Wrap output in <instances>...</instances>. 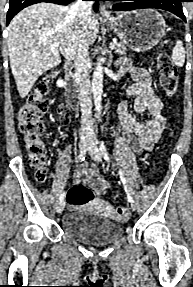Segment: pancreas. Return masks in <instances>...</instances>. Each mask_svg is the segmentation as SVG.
Instances as JSON below:
<instances>
[{
    "label": "pancreas",
    "mask_w": 193,
    "mask_h": 287,
    "mask_svg": "<svg viewBox=\"0 0 193 287\" xmlns=\"http://www.w3.org/2000/svg\"><path fill=\"white\" fill-rule=\"evenodd\" d=\"M115 46H116L115 51L119 55H123L126 53L128 45L125 41L116 42Z\"/></svg>",
    "instance_id": "pancreas-1"
}]
</instances>
